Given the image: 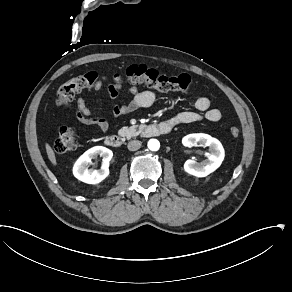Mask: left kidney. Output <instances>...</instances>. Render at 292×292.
I'll list each match as a JSON object with an SVG mask.
<instances>
[{
	"instance_id": "5707ae66",
	"label": "left kidney",
	"mask_w": 292,
	"mask_h": 292,
	"mask_svg": "<svg viewBox=\"0 0 292 292\" xmlns=\"http://www.w3.org/2000/svg\"><path fill=\"white\" fill-rule=\"evenodd\" d=\"M197 143L209 147V152L206 153L207 160L198 163L193 159H189L184 164V170L197 177H205L214 172L222 163L225 157V151L221 142L204 133H193L186 135L182 139V144L185 147H193Z\"/></svg>"
}]
</instances>
